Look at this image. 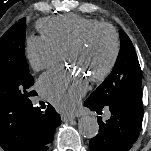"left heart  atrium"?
Returning <instances> with one entry per match:
<instances>
[{"mask_svg": "<svg viewBox=\"0 0 151 151\" xmlns=\"http://www.w3.org/2000/svg\"><path fill=\"white\" fill-rule=\"evenodd\" d=\"M43 96L61 111L72 109L88 89L87 78L63 68H55L41 76L38 82Z\"/></svg>", "mask_w": 151, "mask_h": 151, "instance_id": "39dd6f15", "label": "left heart atrium"}]
</instances>
